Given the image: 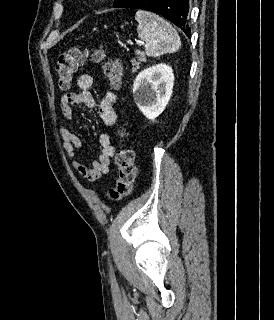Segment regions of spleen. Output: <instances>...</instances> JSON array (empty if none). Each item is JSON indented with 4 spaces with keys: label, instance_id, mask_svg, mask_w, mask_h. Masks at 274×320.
<instances>
[{
    "label": "spleen",
    "instance_id": "1",
    "mask_svg": "<svg viewBox=\"0 0 274 320\" xmlns=\"http://www.w3.org/2000/svg\"><path fill=\"white\" fill-rule=\"evenodd\" d=\"M138 22V38L145 42V52L147 56L157 58L163 54H174L180 48V38L178 32L172 28L169 22L151 14V12H136Z\"/></svg>",
    "mask_w": 274,
    "mask_h": 320
}]
</instances>
